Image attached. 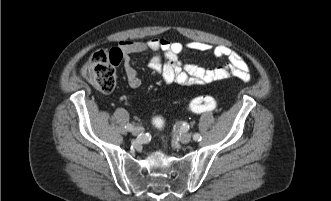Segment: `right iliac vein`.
Listing matches in <instances>:
<instances>
[{"instance_id": "63e3f726", "label": "right iliac vein", "mask_w": 331, "mask_h": 201, "mask_svg": "<svg viewBox=\"0 0 331 201\" xmlns=\"http://www.w3.org/2000/svg\"><path fill=\"white\" fill-rule=\"evenodd\" d=\"M143 131H144V129L142 127L137 126L132 130V134L137 136V135H140L141 133H143Z\"/></svg>"}]
</instances>
